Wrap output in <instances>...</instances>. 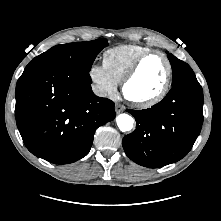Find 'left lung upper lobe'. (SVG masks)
<instances>
[{
  "instance_id": "left-lung-upper-lobe-1",
  "label": "left lung upper lobe",
  "mask_w": 221,
  "mask_h": 221,
  "mask_svg": "<svg viewBox=\"0 0 221 221\" xmlns=\"http://www.w3.org/2000/svg\"><path fill=\"white\" fill-rule=\"evenodd\" d=\"M167 56L172 66V86L184 80L196 78L193 70L187 63L176 58L171 53H167Z\"/></svg>"
}]
</instances>
